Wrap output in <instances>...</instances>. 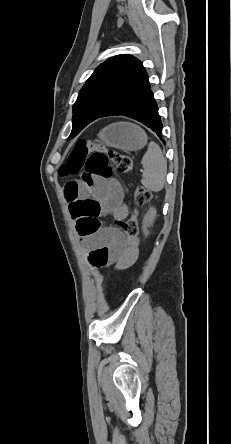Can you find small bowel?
<instances>
[{
	"mask_svg": "<svg viewBox=\"0 0 231 444\" xmlns=\"http://www.w3.org/2000/svg\"><path fill=\"white\" fill-rule=\"evenodd\" d=\"M64 197L72 206L80 201L91 199L98 204L99 216L113 217L118 226L128 215L121 185L116 180L96 178L91 185L70 181L64 188ZM73 217V216H72ZM88 245V261L93 267H114L125 269L135 263L138 257V239L127 244L121 232L114 227L99 229L94 235L83 237Z\"/></svg>",
	"mask_w": 231,
	"mask_h": 444,
	"instance_id": "obj_1",
	"label": "small bowel"
}]
</instances>
